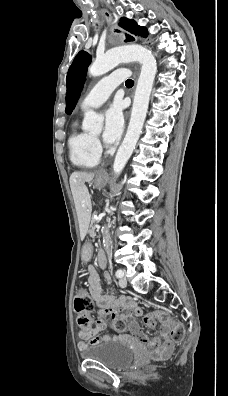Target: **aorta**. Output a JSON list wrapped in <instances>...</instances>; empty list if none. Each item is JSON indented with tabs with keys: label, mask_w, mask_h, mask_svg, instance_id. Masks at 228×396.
<instances>
[{
	"label": "aorta",
	"mask_w": 228,
	"mask_h": 396,
	"mask_svg": "<svg viewBox=\"0 0 228 396\" xmlns=\"http://www.w3.org/2000/svg\"><path fill=\"white\" fill-rule=\"evenodd\" d=\"M137 61L142 68L137 82L130 122L126 136L120 145L113 163V172L118 176L124 169L128 159L135 149L136 143L142 132L146 118L149 99L157 72V63L154 55L145 47L129 45L109 50L96 60L89 67L88 72L92 76H100L116 67L122 62ZM103 117L94 111H87L84 115L82 128L89 132H99L102 130ZM103 239L104 247L108 248V230Z\"/></svg>",
	"instance_id": "762f6f07"
}]
</instances>
